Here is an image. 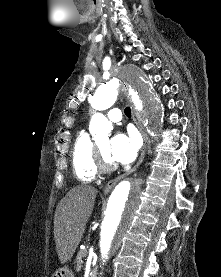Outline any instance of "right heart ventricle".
<instances>
[{
    "instance_id": "1",
    "label": "right heart ventricle",
    "mask_w": 221,
    "mask_h": 277,
    "mask_svg": "<svg viewBox=\"0 0 221 277\" xmlns=\"http://www.w3.org/2000/svg\"><path fill=\"white\" fill-rule=\"evenodd\" d=\"M71 158L73 172L78 181L87 183L97 177L95 144L86 131L82 130L76 135L72 146Z\"/></svg>"
}]
</instances>
